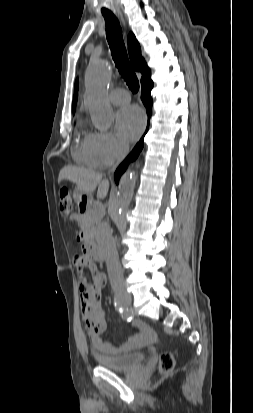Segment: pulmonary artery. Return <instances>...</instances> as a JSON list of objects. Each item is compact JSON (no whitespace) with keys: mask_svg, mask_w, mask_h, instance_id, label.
<instances>
[{"mask_svg":"<svg viewBox=\"0 0 253 413\" xmlns=\"http://www.w3.org/2000/svg\"><path fill=\"white\" fill-rule=\"evenodd\" d=\"M109 99L114 105H123L130 101V96L124 89L118 88L110 93Z\"/></svg>","mask_w":253,"mask_h":413,"instance_id":"1","label":"pulmonary artery"}]
</instances>
